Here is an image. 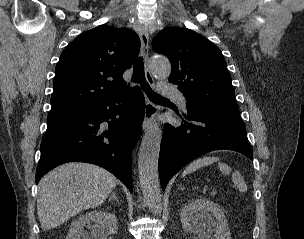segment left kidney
<instances>
[{
    "mask_svg": "<svg viewBox=\"0 0 304 239\" xmlns=\"http://www.w3.org/2000/svg\"><path fill=\"white\" fill-rule=\"evenodd\" d=\"M181 223L185 232L196 233L199 239H231L224 212L207 199L190 200L181 211Z\"/></svg>",
    "mask_w": 304,
    "mask_h": 239,
    "instance_id": "obj_1",
    "label": "left kidney"
}]
</instances>
